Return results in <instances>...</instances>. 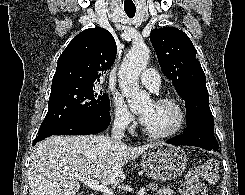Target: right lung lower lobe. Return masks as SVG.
<instances>
[{
  "label": "right lung lower lobe",
  "mask_w": 245,
  "mask_h": 195,
  "mask_svg": "<svg viewBox=\"0 0 245 195\" xmlns=\"http://www.w3.org/2000/svg\"><path fill=\"white\" fill-rule=\"evenodd\" d=\"M110 121L111 117L109 110L95 111L68 120L51 129L39 132L33 145L51 135H87L98 133L107 129Z\"/></svg>",
  "instance_id": "98d812e1"
}]
</instances>
